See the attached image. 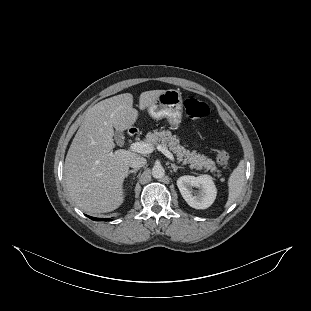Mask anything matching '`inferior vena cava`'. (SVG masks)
Masks as SVG:
<instances>
[{"label": "inferior vena cava", "instance_id": "602c4592", "mask_svg": "<svg viewBox=\"0 0 311 311\" xmlns=\"http://www.w3.org/2000/svg\"><path fill=\"white\" fill-rule=\"evenodd\" d=\"M146 164H147L146 158L140 157V156L133 157L129 161V166L134 169L141 168L145 166Z\"/></svg>", "mask_w": 311, "mask_h": 311}]
</instances>
